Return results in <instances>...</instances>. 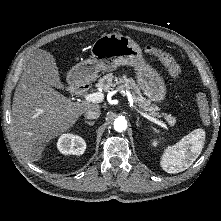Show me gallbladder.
I'll return each mask as SVG.
<instances>
[{"mask_svg": "<svg viewBox=\"0 0 221 221\" xmlns=\"http://www.w3.org/2000/svg\"><path fill=\"white\" fill-rule=\"evenodd\" d=\"M31 63L36 68V76L39 80L52 84L57 89H64L60 81V73L56 69L55 58L45 51H35L31 55Z\"/></svg>", "mask_w": 221, "mask_h": 221, "instance_id": "bac80fb5", "label": "gallbladder"}]
</instances>
